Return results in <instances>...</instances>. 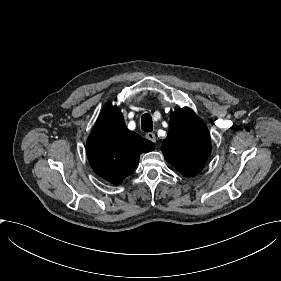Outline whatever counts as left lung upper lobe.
Segmentation results:
<instances>
[{
  "label": "left lung upper lobe",
  "mask_w": 281,
  "mask_h": 281,
  "mask_svg": "<svg viewBox=\"0 0 281 281\" xmlns=\"http://www.w3.org/2000/svg\"><path fill=\"white\" fill-rule=\"evenodd\" d=\"M165 159L183 175L198 173L211 153L209 131L189 108L171 114L169 132L162 144Z\"/></svg>",
  "instance_id": "left-lung-upper-lobe-1"
}]
</instances>
